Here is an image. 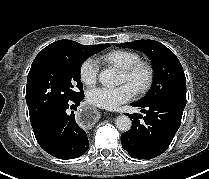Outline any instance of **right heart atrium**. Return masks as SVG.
Masks as SVG:
<instances>
[{
  "mask_svg": "<svg viewBox=\"0 0 209 179\" xmlns=\"http://www.w3.org/2000/svg\"><path fill=\"white\" fill-rule=\"evenodd\" d=\"M99 66L96 60L88 58L82 62L79 77L83 84L93 86L98 79Z\"/></svg>",
  "mask_w": 209,
  "mask_h": 179,
  "instance_id": "obj_1",
  "label": "right heart atrium"
}]
</instances>
